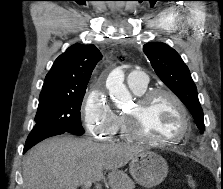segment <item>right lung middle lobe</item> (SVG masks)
Segmentation results:
<instances>
[{
  "label": "right lung middle lobe",
  "instance_id": "1",
  "mask_svg": "<svg viewBox=\"0 0 223 189\" xmlns=\"http://www.w3.org/2000/svg\"><path fill=\"white\" fill-rule=\"evenodd\" d=\"M85 91L86 88H82L74 92L40 94L33 130L59 129L83 135L80 109Z\"/></svg>",
  "mask_w": 223,
  "mask_h": 189
}]
</instances>
